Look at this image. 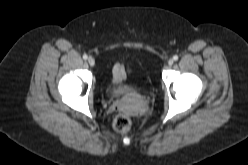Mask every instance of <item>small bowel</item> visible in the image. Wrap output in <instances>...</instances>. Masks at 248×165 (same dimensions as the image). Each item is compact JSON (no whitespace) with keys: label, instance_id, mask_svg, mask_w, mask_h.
I'll return each mask as SVG.
<instances>
[{"label":"small bowel","instance_id":"obj_1","mask_svg":"<svg viewBox=\"0 0 248 165\" xmlns=\"http://www.w3.org/2000/svg\"><path fill=\"white\" fill-rule=\"evenodd\" d=\"M128 74V68L121 63L114 64L112 68V82L116 85L121 84Z\"/></svg>","mask_w":248,"mask_h":165}]
</instances>
